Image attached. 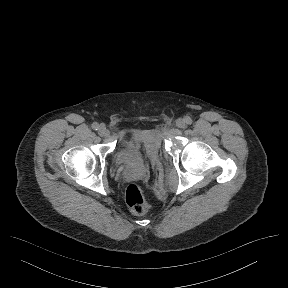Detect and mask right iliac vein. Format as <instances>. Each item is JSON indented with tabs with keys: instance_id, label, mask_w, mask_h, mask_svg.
<instances>
[{
	"instance_id": "obj_1",
	"label": "right iliac vein",
	"mask_w": 288,
	"mask_h": 288,
	"mask_svg": "<svg viewBox=\"0 0 288 288\" xmlns=\"http://www.w3.org/2000/svg\"><path fill=\"white\" fill-rule=\"evenodd\" d=\"M107 133H108V131H107L106 126H105L104 124H101V125L99 126V128H98V134H99L100 136H106Z\"/></svg>"
}]
</instances>
